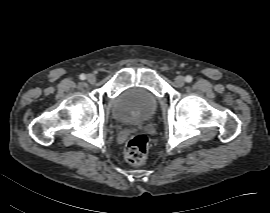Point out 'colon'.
Listing matches in <instances>:
<instances>
[{"label": "colon", "mask_w": 270, "mask_h": 213, "mask_svg": "<svg viewBox=\"0 0 270 213\" xmlns=\"http://www.w3.org/2000/svg\"><path fill=\"white\" fill-rule=\"evenodd\" d=\"M148 146L149 138L147 135L142 133L132 135L125 145V161L132 165L141 164L146 159Z\"/></svg>", "instance_id": "colon-1"}]
</instances>
